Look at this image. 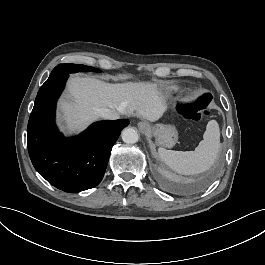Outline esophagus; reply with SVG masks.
Returning <instances> with one entry per match:
<instances>
[{"label":"esophagus","mask_w":265,"mask_h":265,"mask_svg":"<svg viewBox=\"0 0 265 265\" xmlns=\"http://www.w3.org/2000/svg\"><path fill=\"white\" fill-rule=\"evenodd\" d=\"M137 127L139 128L141 133H146L150 130V124L148 122L140 121L137 124Z\"/></svg>","instance_id":"1"}]
</instances>
